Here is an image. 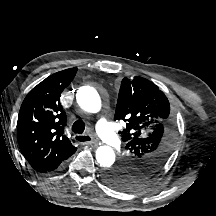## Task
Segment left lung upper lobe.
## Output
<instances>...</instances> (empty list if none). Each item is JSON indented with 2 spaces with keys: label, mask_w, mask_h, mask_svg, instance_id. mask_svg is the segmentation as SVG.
Instances as JSON below:
<instances>
[{
  "label": "left lung upper lobe",
  "mask_w": 216,
  "mask_h": 216,
  "mask_svg": "<svg viewBox=\"0 0 216 216\" xmlns=\"http://www.w3.org/2000/svg\"><path fill=\"white\" fill-rule=\"evenodd\" d=\"M114 120L126 122V128L119 132L123 156L116 166L103 172V177L113 188L132 190L164 166L177 136V112L151 81L124 78Z\"/></svg>",
  "instance_id": "1"
}]
</instances>
